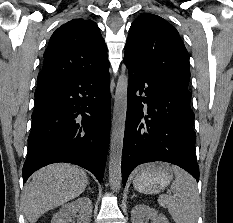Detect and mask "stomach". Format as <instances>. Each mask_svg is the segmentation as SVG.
Returning <instances> with one entry per match:
<instances>
[{"instance_id": "obj_1", "label": "stomach", "mask_w": 233, "mask_h": 223, "mask_svg": "<svg viewBox=\"0 0 233 223\" xmlns=\"http://www.w3.org/2000/svg\"><path fill=\"white\" fill-rule=\"evenodd\" d=\"M174 169L169 163H145L133 179V185L140 193H159L172 181Z\"/></svg>"}]
</instances>
